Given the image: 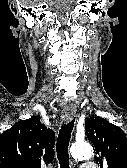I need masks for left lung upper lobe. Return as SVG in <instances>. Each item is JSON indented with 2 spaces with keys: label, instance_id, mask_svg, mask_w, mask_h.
Wrapping results in <instances>:
<instances>
[{
  "label": "left lung upper lobe",
  "instance_id": "left-lung-upper-lobe-1",
  "mask_svg": "<svg viewBox=\"0 0 127 168\" xmlns=\"http://www.w3.org/2000/svg\"><path fill=\"white\" fill-rule=\"evenodd\" d=\"M87 138L93 143L95 161L102 168H127V137L124 131L101 117L85 122Z\"/></svg>",
  "mask_w": 127,
  "mask_h": 168
}]
</instances>
